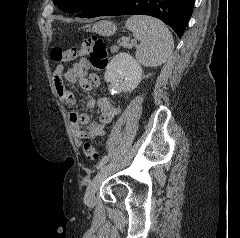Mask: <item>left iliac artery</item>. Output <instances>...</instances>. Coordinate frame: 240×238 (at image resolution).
<instances>
[{"mask_svg":"<svg viewBox=\"0 0 240 238\" xmlns=\"http://www.w3.org/2000/svg\"><path fill=\"white\" fill-rule=\"evenodd\" d=\"M109 157H110L109 155L104 156V157L100 160V162H99L97 168H98V169L102 168L103 165L106 164V163L108 162Z\"/></svg>","mask_w":240,"mask_h":238,"instance_id":"1","label":"left iliac artery"}]
</instances>
